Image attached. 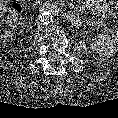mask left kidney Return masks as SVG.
<instances>
[{
  "instance_id": "left-kidney-1",
  "label": "left kidney",
  "mask_w": 118,
  "mask_h": 118,
  "mask_svg": "<svg viewBox=\"0 0 118 118\" xmlns=\"http://www.w3.org/2000/svg\"><path fill=\"white\" fill-rule=\"evenodd\" d=\"M91 48L99 56L110 58L118 51V46L113 39L104 34L96 35L91 41Z\"/></svg>"
}]
</instances>
